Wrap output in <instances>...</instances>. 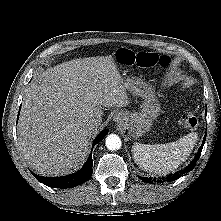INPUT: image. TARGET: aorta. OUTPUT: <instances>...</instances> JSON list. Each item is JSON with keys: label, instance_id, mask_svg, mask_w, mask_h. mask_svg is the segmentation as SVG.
I'll use <instances>...</instances> for the list:
<instances>
[{"label": "aorta", "instance_id": "1", "mask_svg": "<svg viewBox=\"0 0 221 221\" xmlns=\"http://www.w3.org/2000/svg\"><path fill=\"white\" fill-rule=\"evenodd\" d=\"M106 147L111 150H118L121 147V139L116 134H110L106 137Z\"/></svg>", "mask_w": 221, "mask_h": 221}]
</instances>
